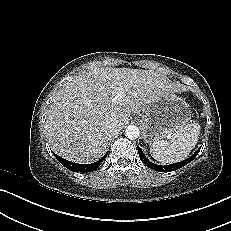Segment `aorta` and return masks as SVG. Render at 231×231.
I'll return each instance as SVG.
<instances>
[{"mask_svg": "<svg viewBox=\"0 0 231 231\" xmlns=\"http://www.w3.org/2000/svg\"><path fill=\"white\" fill-rule=\"evenodd\" d=\"M125 136L128 139L135 140L140 136V130L137 126L130 125L125 130Z\"/></svg>", "mask_w": 231, "mask_h": 231, "instance_id": "762f6f07", "label": "aorta"}]
</instances>
